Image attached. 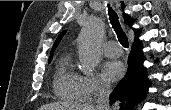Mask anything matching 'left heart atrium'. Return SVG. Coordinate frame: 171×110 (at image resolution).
<instances>
[{
  "label": "left heart atrium",
  "mask_w": 171,
  "mask_h": 110,
  "mask_svg": "<svg viewBox=\"0 0 171 110\" xmlns=\"http://www.w3.org/2000/svg\"><path fill=\"white\" fill-rule=\"evenodd\" d=\"M124 74V66L120 61H108L104 64L102 75L107 81H116Z\"/></svg>",
  "instance_id": "39dd6f15"
}]
</instances>
